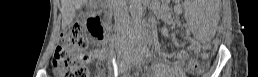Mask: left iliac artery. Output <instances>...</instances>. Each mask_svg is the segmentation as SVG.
Returning <instances> with one entry per match:
<instances>
[{"instance_id": "left-iliac-artery-1", "label": "left iliac artery", "mask_w": 258, "mask_h": 77, "mask_svg": "<svg viewBox=\"0 0 258 77\" xmlns=\"http://www.w3.org/2000/svg\"><path fill=\"white\" fill-rule=\"evenodd\" d=\"M142 53H144L146 56H148L149 54H148V52L146 53V50H142Z\"/></svg>"}]
</instances>
